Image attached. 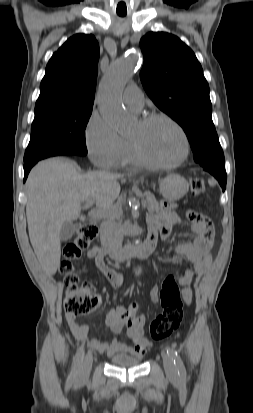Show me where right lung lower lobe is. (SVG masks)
I'll use <instances>...</instances> for the list:
<instances>
[{
  "instance_id": "obj_1",
  "label": "right lung lower lobe",
  "mask_w": 253,
  "mask_h": 413,
  "mask_svg": "<svg viewBox=\"0 0 253 413\" xmlns=\"http://www.w3.org/2000/svg\"><path fill=\"white\" fill-rule=\"evenodd\" d=\"M66 156H71V155H77V154H65ZM39 160L36 161H31V162H27L24 164V182L28 176L29 171L31 170V168L38 162Z\"/></svg>"
}]
</instances>
